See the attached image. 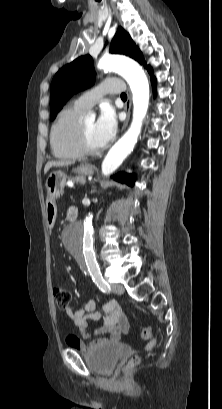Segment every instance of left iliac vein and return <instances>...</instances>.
I'll return each mask as SVG.
<instances>
[{
    "mask_svg": "<svg viewBox=\"0 0 222 409\" xmlns=\"http://www.w3.org/2000/svg\"><path fill=\"white\" fill-rule=\"evenodd\" d=\"M111 291L115 294L121 295L124 292V288L121 284L119 283H113L111 285Z\"/></svg>",
    "mask_w": 222,
    "mask_h": 409,
    "instance_id": "1",
    "label": "left iliac vein"
}]
</instances>
